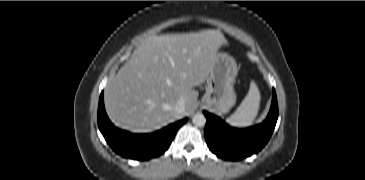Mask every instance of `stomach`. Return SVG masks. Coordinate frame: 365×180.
<instances>
[{"label":"stomach","instance_id":"stomach-1","mask_svg":"<svg viewBox=\"0 0 365 180\" xmlns=\"http://www.w3.org/2000/svg\"><path fill=\"white\" fill-rule=\"evenodd\" d=\"M238 73L235 59L225 52H217L202 103L214 107L220 113H227L236 102L233 84Z\"/></svg>","mask_w":365,"mask_h":180}]
</instances>
